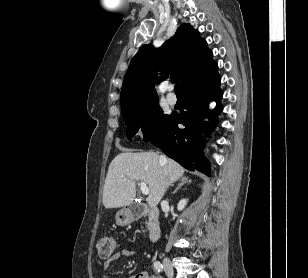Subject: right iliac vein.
<instances>
[{"label": "right iliac vein", "mask_w": 308, "mask_h": 278, "mask_svg": "<svg viewBox=\"0 0 308 278\" xmlns=\"http://www.w3.org/2000/svg\"><path fill=\"white\" fill-rule=\"evenodd\" d=\"M163 266H164V270L167 276L169 278H173V275H174L173 266H172L171 261L167 257H165L163 260Z\"/></svg>", "instance_id": "obj_1"}]
</instances>
